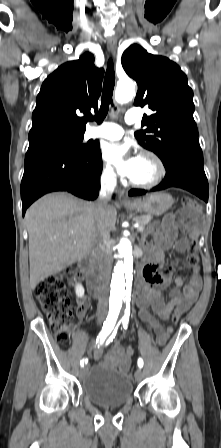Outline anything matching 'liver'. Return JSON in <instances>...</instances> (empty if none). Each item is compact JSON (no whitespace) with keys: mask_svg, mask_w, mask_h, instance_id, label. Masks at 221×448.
Wrapping results in <instances>:
<instances>
[{"mask_svg":"<svg viewBox=\"0 0 221 448\" xmlns=\"http://www.w3.org/2000/svg\"><path fill=\"white\" fill-rule=\"evenodd\" d=\"M116 217L113 205L108 204L100 214L95 203L62 192L47 194L32 204L25 215L31 289L90 253L98 229L110 232Z\"/></svg>","mask_w":221,"mask_h":448,"instance_id":"obj_1","label":"liver"}]
</instances>
